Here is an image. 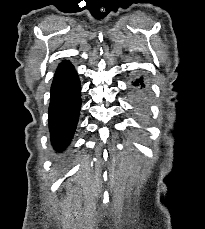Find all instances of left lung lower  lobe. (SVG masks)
I'll list each match as a JSON object with an SVG mask.
<instances>
[{"instance_id":"left-lung-lower-lobe-1","label":"left lung lower lobe","mask_w":205,"mask_h":229,"mask_svg":"<svg viewBox=\"0 0 205 229\" xmlns=\"http://www.w3.org/2000/svg\"><path fill=\"white\" fill-rule=\"evenodd\" d=\"M132 86L135 88V91L139 93L143 88H145V84L143 81V77H140L132 82Z\"/></svg>"}]
</instances>
